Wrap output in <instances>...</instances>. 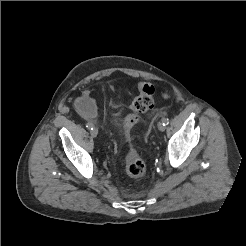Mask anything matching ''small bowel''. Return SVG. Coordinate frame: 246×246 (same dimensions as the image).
<instances>
[{
    "label": "small bowel",
    "mask_w": 246,
    "mask_h": 246,
    "mask_svg": "<svg viewBox=\"0 0 246 246\" xmlns=\"http://www.w3.org/2000/svg\"><path fill=\"white\" fill-rule=\"evenodd\" d=\"M76 107L78 112L86 119H93L97 114L96 106L87 94L76 101Z\"/></svg>",
    "instance_id": "obj_1"
}]
</instances>
